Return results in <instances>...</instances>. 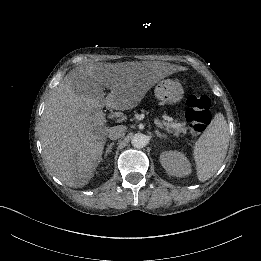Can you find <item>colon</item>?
<instances>
[{"label": "colon", "instance_id": "colon-1", "mask_svg": "<svg viewBox=\"0 0 261 261\" xmlns=\"http://www.w3.org/2000/svg\"><path fill=\"white\" fill-rule=\"evenodd\" d=\"M211 116L210 98L201 93H192L187 99L185 112L190 132L194 135L202 133L210 123Z\"/></svg>", "mask_w": 261, "mask_h": 261}]
</instances>
